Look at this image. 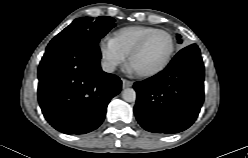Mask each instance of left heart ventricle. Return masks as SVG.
<instances>
[{
  "instance_id": "left-heart-ventricle-1",
  "label": "left heart ventricle",
  "mask_w": 248,
  "mask_h": 158,
  "mask_svg": "<svg viewBox=\"0 0 248 158\" xmlns=\"http://www.w3.org/2000/svg\"><path fill=\"white\" fill-rule=\"evenodd\" d=\"M170 50V39L165 34H154L144 48L133 58L131 65L135 71H148L158 67L166 59Z\"/></svg>"
}]
</instances>
